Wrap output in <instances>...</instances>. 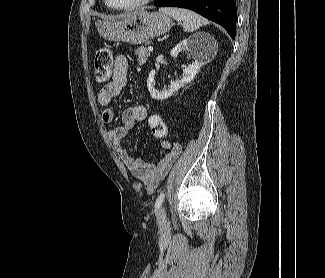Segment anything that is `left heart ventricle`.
<instances>
[{
  "label": "left heart ventricle",
  "instance_id": "1",
  "mask_svg": "<svg viewBox=\"0 0 325 278\" xmlns=\"http://www.w3.org/2000/svg\"><path fill=\"white\" fill-rule=\"evenodd\" d=\"M137 1L139 0H109L110 4L114 6H124V5L135 3Z\"/></svg>",
  "mask_w": 325,
  "mask_h": 278
}]
</instances>
